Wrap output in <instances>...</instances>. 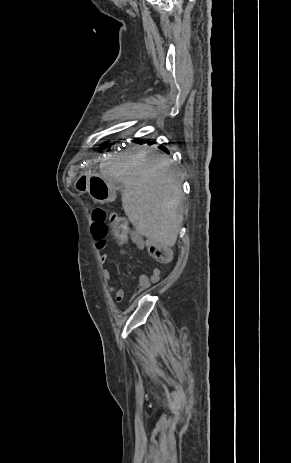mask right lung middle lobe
Here are the masks:
<instances>
[{
    "label": "right lung middle lobe",
    "mask_w": 291,
    "mask_h": 463,
    "mask_svg": "<svg viewBox=\"0 0 291 463\" xmlns=\"http://www.w3.org/2000/svg\"><path fill=\"white\" fill-rule=\"evenodd\" d=\"M134 142H141V143H142V142H144V141H142V140H134ZM108 145H109V143H104V144L101 146V149L107 147Z\"/></svg>",
    "instance_id": "dd1d6c3e"
}]
</instances>
